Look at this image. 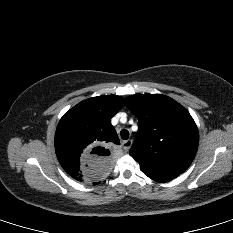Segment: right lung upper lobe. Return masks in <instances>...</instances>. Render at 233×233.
<instances>
[{"label":"right lung upper lobe","instance_id":"cb5924a9","mask_svg":"<svg viewBox=\"0 0 233 233\" xmlns=\"http://www.w3.org/2000/svg\"><path fill=\"white\" fill-rule=\"evenodd\" d=\"M120 96H98L68 110L55 133V151L64 170L74 179H104L118 161V135L111 118L122 107ZM98 184V183H94Z\"/></svg>","mask_w":233,"mask_h":233}]
</instances>
